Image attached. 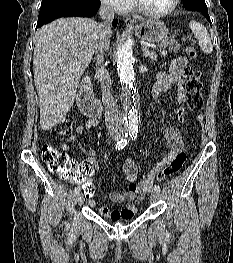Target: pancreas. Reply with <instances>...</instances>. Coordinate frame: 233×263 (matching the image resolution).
I'll list each match as a JSON object with an SVG mask.
<instances>
[{
    "label": "pancreas",
    "instance_id": "1",
    "mask_svg": "<svg viewBox=\"0 0 233 263\" xmlns=\"http://www.w3.org/2000/svg\"><path fill=\"white\" fill-rule=\"evenodd\" d=\"M166 47H169L170 52L176 53L180 48V44L174 38H170L162 41L160 44V48L164 49Z\"/></svg>",
    "mask_w": 233,
    "mask_h": 263
}]
</instances>
